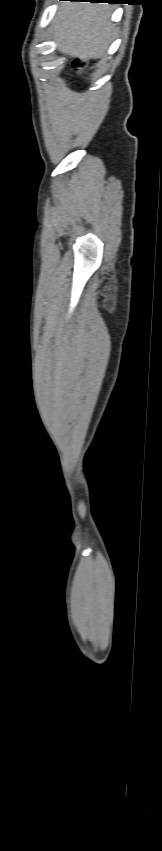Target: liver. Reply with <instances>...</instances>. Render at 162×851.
Returning <instances> with one entry per match:
<instances>
[{
    "instance_id": "obj_1",
    "label": "liver",
    "mask_w": 162,
    "mask_h": 851,
    "mask_svg": "<svg viewBox=\"0 0 162 851\" xmlns=\"http://www.w3.org/2000/svg\"><path fill=\"white\" fill-rule=\"evenodd\" d=\"M110 15L108 5L70 1L61 4L51 27L57 49L81 60L105 57L115 33Z\"/></svg>"
}]
</instances>
